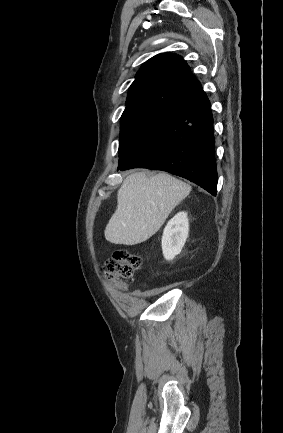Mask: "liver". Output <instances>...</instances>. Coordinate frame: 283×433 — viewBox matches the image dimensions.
Instances as JSON below:
<instances>
[{
    "label": "liver",
    "instance_id": "6515ba94",
    "mask_svg": "<svg viewBox=\"0 0 283 433\" xmlns=\"http://www.w3.org/2000/svg\"><path fill=\"white\" fill-rule=\"evenodd\" d=\"M190 190V184L166 172L149 178L146 172L129 174L117 192V208L104 231L105 239L114 245L144 243Z\"/></svg>",
    "mask_w": 283,
    "mask_h": 433
}]
</instances>
